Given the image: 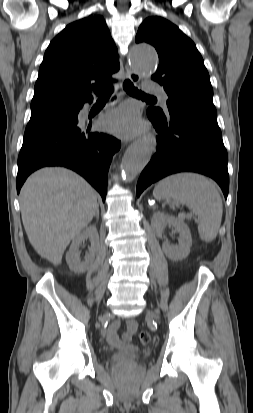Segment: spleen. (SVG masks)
<instances>
[{
  "instance_id": "1",
  "label": "spleen",
  "mask_w": 253,
  "mask_h": 413,
  "mask_svg": "<svg viewBox=\"0 0 253 413\" xmlns=\"http://www.w3.org/2000/svg\"><path fill=\"white\" fill-rule=\"evenodd\" d=\"M157 200L173 198L198 216V233L205 242L213 241L219 231L223 205L217 186L196 173H178L161 180L153 191Z\"/></svg>"
}]
</instances>
